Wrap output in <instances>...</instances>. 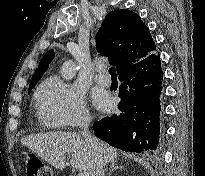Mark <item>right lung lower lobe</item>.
Returning <instances> with one entry per match:
<instances>
[{
    "instance_id": "right-lung-lower-lobe-1",
    "label": "right lung lower lobe",
    "mask_w": 205,
    "mask_h": 176,
    "mask_svg": "<svg viewBox=\"0 0 205 176\" xmlns=\"http://www.w3.org/2000/svg\"><path fill=\"white\" fill-rule=\"evenodd\" d=\"M118 108L121 111L93 124L94 134L127 152H156L161 148L163 72L158 53L126 68Z\"/></svg>"
}]
</instances>
